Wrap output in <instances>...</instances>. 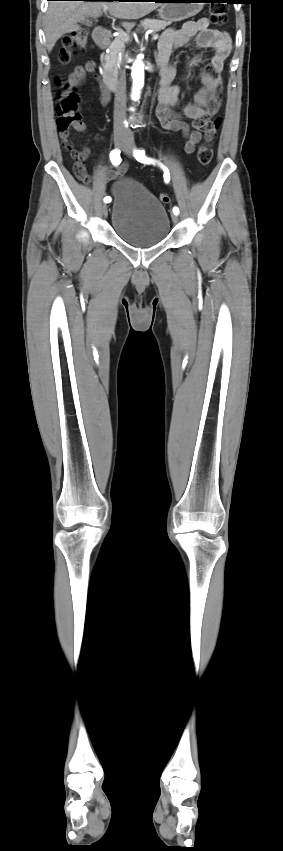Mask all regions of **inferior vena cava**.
<instances>
[{
  "label": "inferior vena cava",
  "instance_id": "inferior-vena-cava-1",
  "mask_svg": "<svg viewBox=\"0 0 283 851\" xmlns=\"http://www.w3.org/2000/svg\"><path fill=\"white\" fill-rule=\"evenodd\" d=\"M126 117V83L124 77H120L115 90L114 99V130L116 132L126 133L127 129L124 126Z\"/></svg>",
  "mask_w": 283,
  "mask_h": 851
}]
</instances>
